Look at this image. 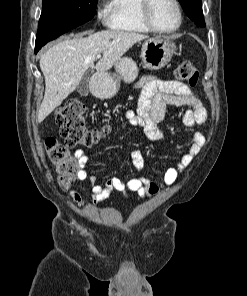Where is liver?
Listing matches in <instances>:
<instances>
[{
	"mask_svg": "<svg viewBox=\"0 0 247 296\" xmlns=\"http://www.w3.org/2000/svg\"><path fill=\"white\" fill-rule=\"evenodd\" d=\"M147 35L117 30H106L77 36L57 43L40 58V69L45 78V94L38 112L42 122L78 86L88 68L97 73L108 71L137 42ZM103 57L94 66L98 54Z\"/></svg>",
	"mask_w": 247,
	"mask_h": 296,
	"instance_id": "1",
	"label": "liver"
}]
</instances>
